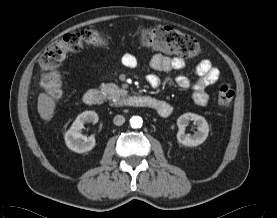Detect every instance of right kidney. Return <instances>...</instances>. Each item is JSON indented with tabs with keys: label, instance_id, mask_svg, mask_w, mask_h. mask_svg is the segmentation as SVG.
<instances>
[{
	"label": "right kidney",
	"instance_id": "obj_1",
	"mask_svg": "<svg viewBox=\"0 0 277 218\" xmlns=\"http://www.w3.org/2000/svg\"><path fill=\"white\" fill-rule=\"evenodd\" d=\"M99 117L95 111H84L79 114L70 129L65 133V143L69 149L77 153H85L92 150L96 144L93 135L87 137L82 134L85 123L96 124Z\"/></svg>",
	"mask_w": 277,
	"mask_h": 218
}]
</instances>
